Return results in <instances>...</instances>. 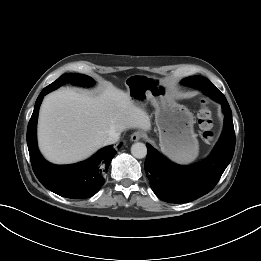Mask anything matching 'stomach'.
Wrapping results in <instances>:
<instances>
[{"label": "stomach", "instance_id": "1", "mask_svg": "<svg viewBox=\"0 0 261 261\" xmlns=\"http://www.w3.org/2000/svg\"><path fill=\"white\" fill-rule=\"evenodd\" d=\"M126 86L136 106L144 107L150 101L155 107V123L163 153L176 162L193 161L199 145L193 128L194 117L188 108L178 104L156 77L132 75Z\"/></svg>", "mask_w": 261, "mask_h": 261}]
</instances>
